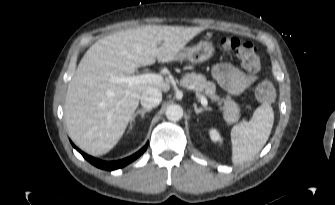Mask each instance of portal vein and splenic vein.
Listing matches in <instances>:
<instances>
[{
	"instance_id": "18ae733b",
	"label": "portal vein and splenic vein",
	"mask_w": 335,
	"mask_h": 205,
	"mask_svg": "<svg viewBox=\"0 0 335 205\" xmlns=\"http://www.w3.org/2000/svg\"><path fill=\"white\" fill-rule=\"evenodd\" d=\"M115 82L128 83L130 86L138 83L160 84L163 82V77L156 73H144L130 77L115 78ZM199 99L202 105L206 106L208 104V101L204 95L200 94Z\"/></svg>"
}]
</instances>
